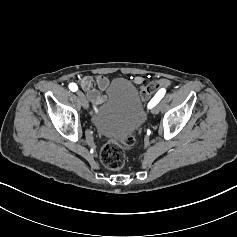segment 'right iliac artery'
Wrapping results in <instances>:
<instances>
[{"mask_svg": "<svg viewBox=\"0 0 237 237\" xmlns=\"http://www.w3.org/2000/svg\"><path fill=\"white\" fill-rule=\"evenodd\" d=\"M69 89L72 91V92H75L78 90V86L75 84V83H70L69 84Z\"/></svg>", "mask_w": 237, "mask_h": 237, "instance_id": "1", "label": "right iliac artery"}]
</instances>
